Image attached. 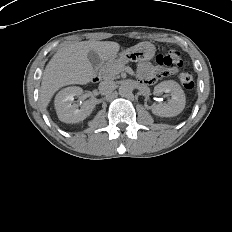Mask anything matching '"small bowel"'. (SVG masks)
I'll use <instances>...</instances> for the list:
<instances>
[{"mask_svg":"<svg viewBox=\"0 0 232 232\" xmlns=\"http://www.w3.org/2000/svg\"><path fill=\"white\" fill-rule=\"evenodd\" d=\"M139 75L145 79V84L148 87H153L156 80L172 79L175 76V70L172 67H156L151 63L142 62L138 65Z\"/></svg>","mask_w":232,"mask_h":232,"instance_id":"small-bowel-1","label":"small bowel"}]
</instances>
